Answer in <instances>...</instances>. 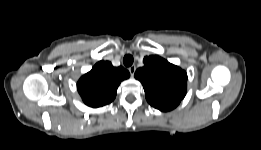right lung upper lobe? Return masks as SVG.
<instances>
[{"label":"right lung upper lobe","mask_w":261,"mask_h":150,"mask_svg":"<svg viewBox=\"0 0 261 150\" xmlns=\"http://www.w3.org/2000/svg\"><path fill=\"white\" fill-rule=\"evenodd\" d=\"M129 76L123 67L100 61L79 79L77 89L86 105L97 108L112 102L120 82Z\"/></svg>","instance_id":"obj_1"}]
</instances>
